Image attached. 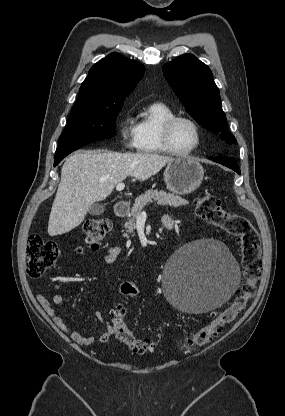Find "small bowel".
<instances>
[{"instance_id": "small-bowel-1", "label": "small bowel", "mask_w": 285, "mask_h": 416, "mask_svg": "<svg viewBox=\"0 0 285 416\" xmlns=\"http://www.w3.org/2000/svg\"><path fill=\"white\" fill-rule=\"evenodd\" d=\"M174 222H175L174 218L169 214H166L163 217V224L165 226L170 225L172 227L174 225ZM119 252H120V249L118 247H112L105 257V262L107 264H112L116 260ZM36 298H37L38 303L41 305L43 310L48 314V316L51 318L53 323L59 329L66 332L74 342H76L77 344L81 346H90L94 344L95 342H101V343L107 342L115 334L111 322L108 321L105 315L100 311H97L95 313V316L98 319V321H100L101 323L105 325L103 332L98 337L86 336L76 330L70 329L67 326L64 319L54 310L52 304L56 306H60L64 302V298L61 294H55L52 297V301H49L46 297L40 294L37 295Z\"/></svg>"}]
</instances>
